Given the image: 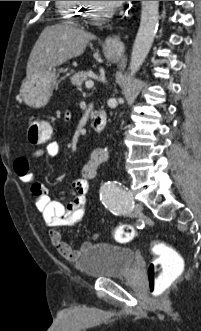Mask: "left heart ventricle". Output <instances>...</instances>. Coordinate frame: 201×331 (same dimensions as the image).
Listing matches in <instances>:
<instances>
[{"label": "left heart ventricle", "instance_id": "left-heart-ventricle-1", "mask_svg": "<svg viewBox=\"0 0 201 331\" xmlns=\"http://www.w3.org/2000/svg\"><path fill=\"white\" fill-rule=\"evenodd\" d=\"M97 4V10H95V13H100L102 10H106L110 8L106 3H102L101 1H95Z\"/></svg>", "mask_w": 201, "mask_h": 331}]
</instances>
